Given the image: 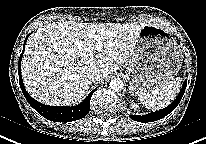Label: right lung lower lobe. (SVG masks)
I'll use <instances>...</instances> for the list:
<instances>
[{
	"label": "right lung lower lobe",
	"instance_id": "right-lung-lower-lobe-1",
	"mask_svg": "<svg viewBox=\"0 0 206 144\" xmlns=\"http://www.w3.org/2000/svg\"><path fill=\"white\" fill-rule=\"evenodd\" d=\"M29 35H27L24 45H23V51L19 58L18 63V74H19V83L21 90L28 101V103L43 117H45L48 120L55 121V122H71L78 119H81L85 117L89 110H90V99L92 97V94L96 89H94L87 97L86 99L81 102L79 105L72 106V107H66V106H49L44 105L33 99L25 90L22 76H21V60L23 56V52L25 50V43L28 39Z\"/></svg>",
	"mask_w": 206,
	"mask_h": 144
}]
</instances>
